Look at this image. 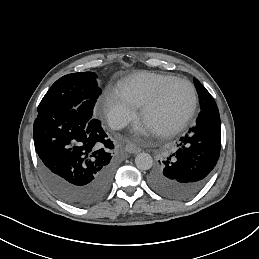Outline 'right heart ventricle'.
Returning <instances> with one entry per match:
<instances>
[{
	"label": "right heart ventricle",
	"mask_w": 259,
	"mask_h": 259,
	"mask_svg": "<svg viewBox=\"0 0 259 259\" xmlns=\"http://www.w3.org/2000/svg\"><path fill=\"white\" fill-rule=\"evenodd\" d=\"M173 74L143 72L127 79L121 86L123 91L142 106L157 91L158 87Z\"/></svg>",
	"instance_id": "e07e8e85"
}]
</instances>
